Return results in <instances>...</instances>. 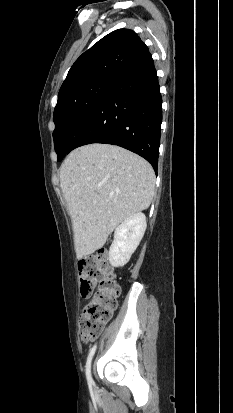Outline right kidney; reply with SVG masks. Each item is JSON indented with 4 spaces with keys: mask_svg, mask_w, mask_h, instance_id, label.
Listing matches in <instances>:
<instances>
[{
    "mask_svg": "<svg viewBox=\"0 0 233 413\" xmlns=\"http://www.w3.org/2000/svg\"><path fill=\"white\" fill-rule=\"evenodd\" d=\"M146 227V217L139 212L125 219L115 229L114 240L109 249V261L113 267H122L130 260Z\"/></svg>",
    "mask_w": 233,
    "mask_h": 413,
    "instance_id": "right-kidney-1",
    "label": "right kidney"
}]
</instances>
